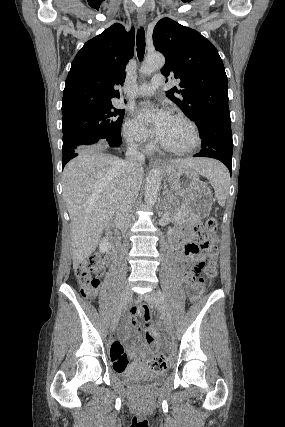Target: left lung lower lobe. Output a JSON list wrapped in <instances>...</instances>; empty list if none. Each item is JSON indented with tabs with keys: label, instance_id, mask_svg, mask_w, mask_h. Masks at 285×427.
Here are the masks:
<instances>
[{
	"label": "left lung lower lobe",
	"instance_id": "1",
	"mask_svg": "<svg viewBox=\"0 0 285 427\" xmlns=\"http://www.w3.org/2000/svg\"><path fill=\"white\" fill-rule=\"evenodd\" d=\"M202 150L194 157H210L223 162L231 171L233 141L231 119L220 116H205L196 122Z\"/></svg>",
	"mask_w": 285,
	"mask_h": 427
}]
</instances>
